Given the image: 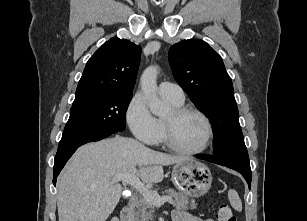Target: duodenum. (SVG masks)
I'll return each mask as SVG.
<instances>
[{"label":"duodenum","mask_w":307,"mask_h":221,"mask_svg":"<svg viewBox=\"0 0 307 221\" xmlns=\"http://www.w3.org/2000/svg\"><path fill=\"white\" fill-rule=\"evenodd\" d=\"M137 205V198L135 196L127 200L126 204L121 210L120 218L117 221H131L132 213Z\"/></svg>","instance_id":"1"}]
</instances>
